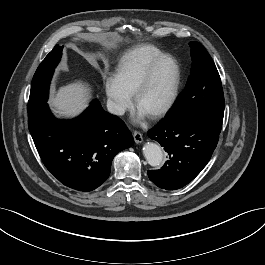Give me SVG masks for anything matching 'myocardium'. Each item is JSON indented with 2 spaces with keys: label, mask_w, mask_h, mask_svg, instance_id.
Here are the masks:
<instances>
[{
  "label": "myocardium",
  "mask_w": 265,
  "mask_h": 265,
  "mask_svg": "<svg viewBox=\"0 0 265 265\" xmlns=\"http://www.w3.org/2000/svg\"><path fill=\"white\" fill-rule=\"evenodd\" d=\"M169 60L172 62L173 67H174V82L172 85L171 92L169 94L168 99L166 102L157 110L153 111L152 113L148 114L149 118L156 119L164 116L167 114L174 106L178 94H179V89H180V84H181V68L180 65L177 61V59L169 54H162L155 58L148 66L144 74L142 75L141 79L139 80L138 84L136 85L133 93H132V103L134 107H136V104L143 94V92L146 90L148 87L155 70L157 69L158 65L165 61Z\"/></svg>",
  "instance_id": "myocardium-1"
}]
</instances>
